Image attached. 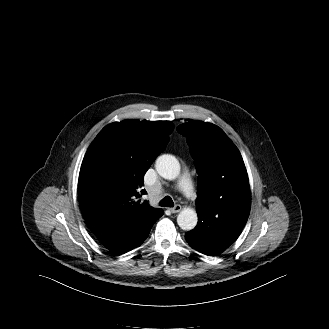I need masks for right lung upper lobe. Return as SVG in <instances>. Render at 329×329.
<instances>
[{
    "instance_id": "right-lung-upper-lobe-1",
    "label": "right lung upper lobe",
    "mask_w": 329,
    "mask_h": 329,
    "mask_svg": "<svg viewBox=\"0 0 329 329\" xmlns=\"http://www.w3.org/2000/svg\"><path fill=\"white\" fill-rule=\"evenodd\" d=\"M172 130L169 121L125 120L104 127L91 143L81 165L78 194L85 222L96 237L112 228L145 224L163 211L135 198Z\"/></svg>"
}]
</instances>
